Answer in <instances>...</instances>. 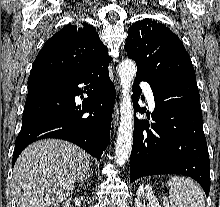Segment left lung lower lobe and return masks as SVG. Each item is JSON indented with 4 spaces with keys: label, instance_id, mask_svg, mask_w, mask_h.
<instances>
[{
    "label": "left lung lower lobe",
    "instance_id": "obj_1",
    "mask_svg": "<svg viewBox=\"0 0 220 207\" xmlns=\"http://www.w3.org/2000/svg\"><path fill=\"white\" fill-rule=\"evenodd\" d=\"M150 84L156 104L155 123L134 120L130 179L157 174H183L210 190V160L202 125L200 95L196 79L169 76L150 81L137 73L133 85L134 108L142 90L140 81ZM149 116V115H147Z\"/></svg>",
    "mask_w": 220,
    "mask_h": 207
}]
</instances>
